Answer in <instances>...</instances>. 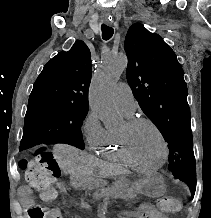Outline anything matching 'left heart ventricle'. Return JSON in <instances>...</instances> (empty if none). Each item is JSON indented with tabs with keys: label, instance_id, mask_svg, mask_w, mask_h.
Returning a JSON list of instances; mask_svg holds the SVG:
<instances>
[{
	"label": "left heart ventricle",
	"instance_id": "obj_1",
	"mask_svg": "<svg viewBox=\"0 0 211 218\" xmlns=\"http://www.w3.org/2000/svg\"><path fill=\"white\" fill-rule=\"evenodd\" d=\"M130 145L135 157L146 164H158L163 157L160 139L147 124L137 126L130 134Z\"/></svg>",
	"mask_w": 211,
	"mask_h": 218
}]
</instances>
